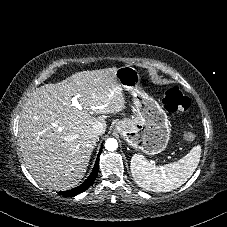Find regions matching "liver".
<instances>
[{
  "label": "liver",
  "mask_w": 227,
  "mask_h": 227,
  "mask_svg": "<svg viewBox=\"0 0 227 227\" xmlns=\"http://www.w3.org/2000/svg\"><path fill=\"white\" fill-rule=\"evenodd\" d=\"M118 68L81 71L36 88L23 106L19 141L23 160L45 188L68 190L83 179L98 141L92 129L104 117L125 108ZM77 97L82 109L71 103Z\"/></svg>",
  "instance_id": "obj_1"
}]
</instances>
